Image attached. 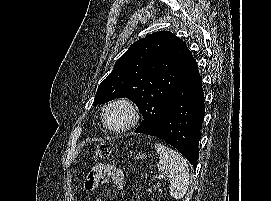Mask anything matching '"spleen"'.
Wrapping results in <instances>:
<instances>
[{"label":"spleen","instance_id":"spleen-1","mask_svg":"<svg viewBox=\"0 0 271 201\" xmlns=\"http://www.w3.org/2000/svg\"><path fill=\"white\" fill-rule=\"evenodd\" d=\"M155 150L160 156L158 170L170 182L171 197L176 200L183 198L189 185V169L185 158L176 150L163 144H155Z\"/></svg>","mask_w":271,"mask_h":201}]
</instances>
